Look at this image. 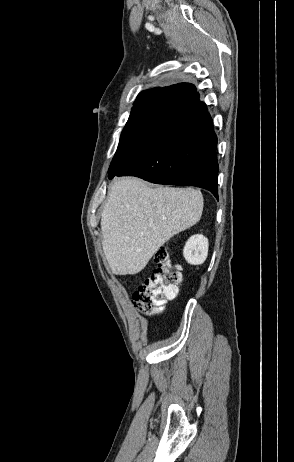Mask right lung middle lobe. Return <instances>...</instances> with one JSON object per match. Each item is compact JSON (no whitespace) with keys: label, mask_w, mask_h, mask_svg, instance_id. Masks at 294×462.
Masks as SVG:
<instances>
[{"label":"right lung middle lobe","mask_w":294,"mask_h":462,"mask_svg":"<svg viewBox=\"0 0 294 462\" xmlns=\"http://www.w3.org/2000/svg\"><path fill=\"white\" fill-rule=\"evenodd\" d=\"M187 104L177 96H168L134 106L122 131L109 175L117 173L140 149L163 133Z\"/></svg>","instance_id":"dd1d6c3e"}]
</instances>
